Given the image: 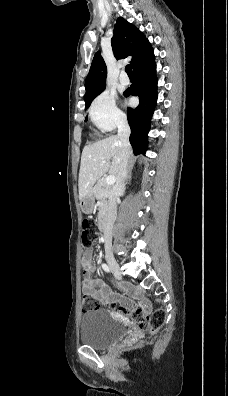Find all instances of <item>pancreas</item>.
I'll use <instances>...</instances> for the list:
<instances>
[{"label":"pancreas","instance_id":"cf45deb5","mask_svg":"<svg viewBox=\"0 0 228 396\" xmlns=\"http://www.w3.org/2000/svg\"><path fill=\"white\" fill-rule=\"evenodd\" d=\"M93 191L95 197L99 200L98 219L101 220L106 217L109 207L108 199L111 197L112 189L109 185L105 184L104 180H99L94 186Z\"/></svg>","mask_w":228,"mask_h":396}]
</instances>
